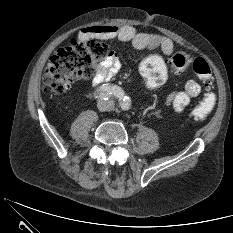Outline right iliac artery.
<instances>
[{
  "label": "right iliac artery",
  "mask_w": 233,
  "mask_h": 233,
  "mask_svg": "<svg viewBox=\"0 0 233 233\" xmlns=\"http://www.w3.org/2000/svg\"><path fill=\"white\" fill-rule=\"evenodd\" d=\"M111 96H115L121 101L124 98L123 90L118 86L107 85L98 90L95 94V98L98 100H108Z\"/></svg>",
  "instance_id": "right-iliac-artery-1"
}]
</instances>
